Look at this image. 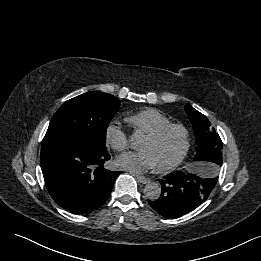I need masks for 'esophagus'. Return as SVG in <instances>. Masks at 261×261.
<instances>
[{"instance_id": "esophagus-1", "label": "esophagus", "mask_w": 261, "mask_h": 261, "mask_svg": "<svg viewBox=\"0 0 261 261\" xmlns=\"http://www.w3.org/2000/svg\"><path fill=\"white\" fill-rule=\"evenodd\" d=\"M137 180L142 184H147L150 182V179L144 177V176H136Z\"/></svg>"}]
</instances>
